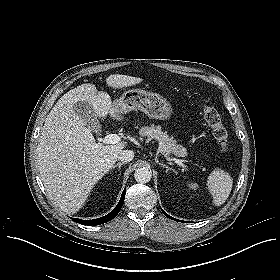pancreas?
I'll use <instances>...</instances> for the list:
<instances>
[{
  "mask_svg": "<svg viewBox=\"0 0 280 280\" xmlns=\"http://www.w3.org/2000/svg\"><path fill=\"white\" fill-rule=\"evenodd\" d=\"M139 134L143 137L148 136L155 139L159 143L161 153L165 156L173 154L177 157H185L187 155V149L178 144L173 138H170L159 126L142 127Z\"/></svg>",
  "mask_w": 280,
  "mask_h": 280,
  "instance_id": "1",
  "label": "pancreas"
}]
</instances>
